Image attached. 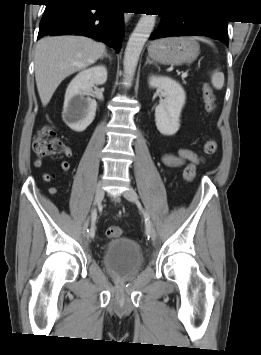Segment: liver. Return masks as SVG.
<instances>
[{
  "instance_id": "6515ba94",
  "label": "liver",
  "mask_w": 261,
  "mask_h": 355,
  "mask_svg": "<svg viewBox=\"0 0 261 355\" xmlns=\"http://www.w3.org/2000/svg\"><path fill=\"white\" fill-rule=\"evenodd\" d=\"M105 51L103 43L82 36L40 39L35 49V79L42 105L49 103L66 77L95 63Z\"/></svg>"
}]
</instances>
